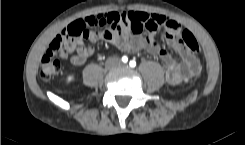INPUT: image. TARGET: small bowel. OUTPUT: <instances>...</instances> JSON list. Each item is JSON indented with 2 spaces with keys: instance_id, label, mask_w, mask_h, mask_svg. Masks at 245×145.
Masks as SVG:
<instances>
[{
  "instance_id": "obj_1",
  "label": "small bowel",
  "mask_w": 245,
  "mask_h": 145,
  "mask_svg": "<svg viewBox=\"0 0 245 145\" xmlns=\"http://www.w3.org/2000/svg\"><path fill=\"white\" fill-rule=\"evenodd\" d=\"M154 16L161 15L143 11H122L110 12L102 15L100 18L96 16V26L90 31L87 38L92 43H97L101 40L109 41L123 51L144 49L151 55L159 56L166 66V80L171 84H178L189 78L200 75L201 65L198 58L188 49L174 31L167 29L166 22L163 24L166 28V32L164 33L165 43L179 55L181 59L180 62L175 61L167 50L158 45L152 30L146 29L148 32L146 35L129 39L125 28H113V25L121 21L130 22L135 20L140 23H148L149 19ZM85 19L86 18L81 19L80 21ZM93 53V47H84L83 41H80L76 48V54L70 56V61L75 65H81L85 63Z\"/></svg>"
}]
</instances>
